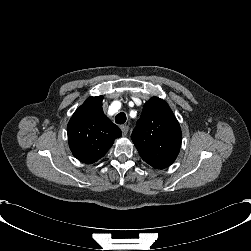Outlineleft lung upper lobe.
<instances>
[{
	"label": "left lung upper lobe",
	"instance_id": "left-lung-upper-lobe-1",
	"mask_svg": "<svg viewBox=\"0 0 251 251\" xmlns=\"http://www.w3.org/2000/svg\"><path fill=\"white\" fill-rule=\"evenodd\" d=\"M131 139L145 162L154 168L163 169L176 159L182 133L168 104L152 97L144 104Z\"/></svg>",
	"mask_w": 251,
	"mask_h": 251
}]
</instances>
